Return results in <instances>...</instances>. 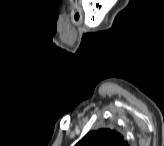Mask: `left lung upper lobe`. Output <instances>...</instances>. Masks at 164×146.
<instances>
[{
    "label": "left lung upper lobe",
    "mask_w": 164,
    "mask_h": 146,
    "mask_svg": "<svg viewBox=\"0 0 164 146\" xmlns=\"http://www.w3.org/2000/svg\"><path fill=\"white\" fill-rule=\"evenodd\" d=\"M76 146H128L123 135L116 130L101 128L89 131Z\"/></svg>",
    "instance_id": "obj_1"
}]
</instances>
